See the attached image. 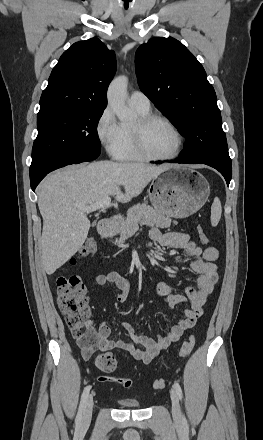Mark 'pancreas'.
<instances>
[{
	"label": "pancreas",
	"instance_id": "pancreas-1",
	"mask_svg": "<svg viewBox=\"0 0 263 440\" xmlns=\"http://www.w3.org/2000/svg\"><path fill=\"white\" fill-rule=\"evenodd\" d=\"M173 223L177 224L176 221ZM139 224L167 228L171 225V218L146 203L134 205L127 211L126 219L120 224V238L117 239V242L123 244L126 239L135 234Z\"/></svg>",
	"mask_w": 263,
	"mask_h": 440
}]
</instances>
